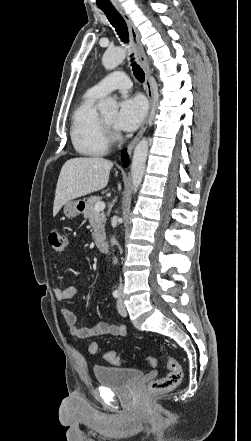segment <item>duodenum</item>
<instances>
[{
    "label": "duodenum",
    "mask_w": 251,
    "mask_h": 441,
    "mask_svg": "<svg viewBox=\"0 0 251 441\" xmlns=\"http://www.w3.org/2000/svg\"><path fill=\"white\" fill-rule=\"evenodd\" d=\"M98 249L102 252V253H107L109 251V242L107 240H101L98 242L97 244Z\"/></svg>",
    "instance_id": "410a0bca"
}]
</instances>
